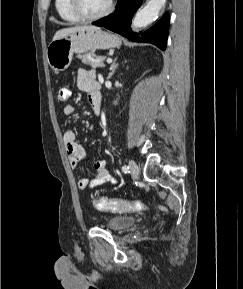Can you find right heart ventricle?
I'll use <instances>...</instances> for the list:
<instances>
[{"label": "right heart ventricle", "mask_w": 243, "mask_h": 289, "mask_svg": "<svg viewBox=\"0 0 243 289\" xmlns=\"http://www.w3.org/2000/svg\"><path fill=\"white\" fill-rule=\"evenodd\" d=\"M55 7L62 20L70 23L80 21V19L72 12L69 0H55Z\"/></svg>", "instance_id": "obj_1"}]
</instances>
